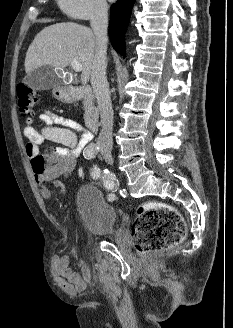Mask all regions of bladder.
<instances>
[{
  "instance_id": "obj_1",
  "label": "bladder",
  "mask_w": 233,
  "mask_h": 328,
  "mask_svg": "<svg viewBox=\"0 0 233 328\" xmlns=\"http://www.w3.org/2000/svg\"><path fill=\"white\" fill-rule=\"evenodd\" d=\"M75 203L83 225L94 236L113 235L117 229L118 213L93 185L81 186Z\"/></svg>"
}]
</instances>
